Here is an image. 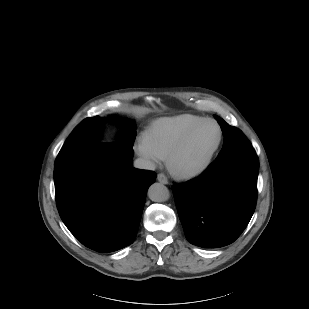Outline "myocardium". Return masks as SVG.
Returning <instances> with one entry per match:
<instances>
[{
	"mask_svg": "<svg viewBox=\"0 0 309 309\" xmlns=\"http://www.w3.org/2000/svg\"><path fill=\"white\" fill-rule=\"evenodd\" d=\"M207 123H213L216 125L217 129H218V139L215 143V145L213 146V148L210 150L208 156L206 157V159L199 164L196 167L193 168H186L183 167L181 165L178 164L177 159L178 156L181 152V150L183 149V147L186 145V143L189 141V139L194 135V133L203 125L207 124ZM223 140V130L221 125L214 119L211 118H207V119H203L200 122L196 123L195 125H193L179 140L178 142L174 145V147L172 148V150L170 151L168 157H167V166L168 169L177 177L180 178H194L197 177L199 175H201L202 173H204L209 166L212 164L213 159L218 151V149L221 146Z\"/></svg>",
	"mask_w": 309,
	"mask_h": 309,
	"instance_id": "obj_1",
	"label": "myocardium"
}]
</instances>
